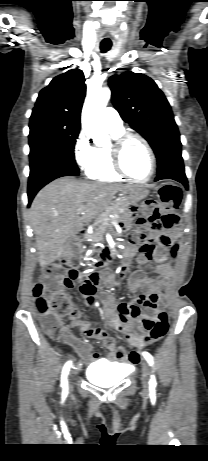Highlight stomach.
I'll use <instances>...</instances> for the list:
<instances>
[{
  "mask_svg": "<svg viewBox=\"0 0 208 461\" xmlns=\"http://www.w3.org/2000/svg\"><path fill=\"white\" fill-rule=\"evenodd\" d=\"M149 190L144 186H135L124 194V199L131 203H137L147 197Z\"/></svg>",
  "mask_w": 208,
  "mask_h": 461,
  "instance_id": "0dacf381",
  "label": "stomach"
}]
</instances>
